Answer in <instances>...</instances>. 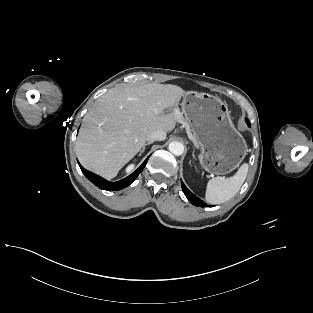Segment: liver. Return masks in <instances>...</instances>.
<instances>
[{"mask_svg": "<svg viewBox=\"0 0 313 313\" xmlns=\"http://www.w3.org/2000/svg\"><path fill=\"white\" fill-rule=\"evenodd\" d=\"M184 90L148 83L109 89L85 115L76 141L80 163L107 179L114 178L156 130L171 132L182 122L177 107ZM172 108L170 113L164 111Z\"/></svg>", "mask_w": 313, "mask_h": 313, "instance_id": "1", "label": "liver"}]
</instances>
